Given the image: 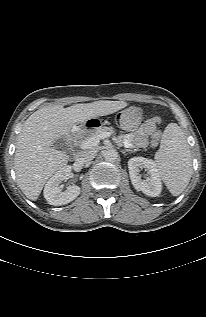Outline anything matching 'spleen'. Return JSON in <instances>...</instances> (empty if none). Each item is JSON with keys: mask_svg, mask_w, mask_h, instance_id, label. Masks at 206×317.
Instances as JSON below:
<instances>
[{"mask_svg": "<svg viewBox=\"0 0 206 317\" xmlns=\"http://www.w3.org/2000/svg\"><path fill=\"white\" fill-rule=\"evenodd\" d=\"M155 164L164 184L173 196L180 195L192 176V156L182 129L169 123L164 130Z\"/></svg>", "mask_w": 206, "mask_h": 317, "instance_id": "3e777b00", "label": "spleen"}]
</instances>
